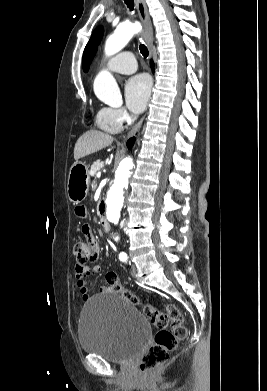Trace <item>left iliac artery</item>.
Listing matches in <instances>:
<instances>
[{
    "label": "left iliac artery",
    "instance_id": "1",
    "mask_svg": "<svg viewBox=\"0 0 267 391\" xmlns=\"http://www.w3.org/2000/svg\"><path fill=\"white\" fill-rule=\"evenodd\" d=\"M120 260L121 261H126L127 260V255L126 254H121L120 255Z\"/></svg>",
    "mask_w": 267,
    "mask_h": 391
}]
</instances>
